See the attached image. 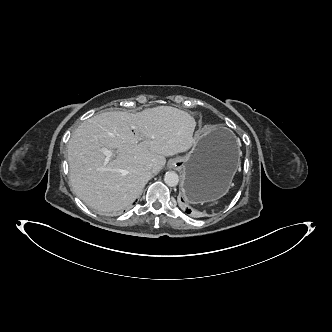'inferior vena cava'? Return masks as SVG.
Here are the masks:
<instances>
[{"label":"inferior vena cava","mask_w":332,"mask_h":332,"mask_svg":"<svg viewBox=\"0 0 332 332\" xmlns=\"http://www.w3.org/2000/svg\"><path fill=\"white\" fill-rule=\"evenodd\" d=\"M146 169H147L148 171H152V169H153V164H152V163L147 164V165H146Z\"/></svg>","instance_id":"1"}]
</instances>
